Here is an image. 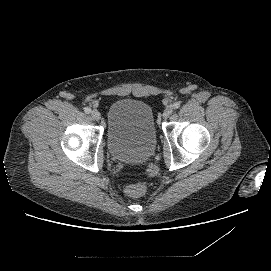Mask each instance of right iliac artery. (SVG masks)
Instances as JSON below:
<instances>
[{
	"instance_id": "1",
	"label": "right iliac artery",
	"mask_w": 271,
	"mask_h": 271,
	"mask_svg": "<svg viewBox=\"0 0 271 271\" xmlns=\"http://www.w3.org/2000/svg\"><path fill=\"white\" fill-rule=\"evenodd\" d=\"M85 113L89 114L91 112V109L89 107L84 108Z\"/></svg>"
}]
</instances>
